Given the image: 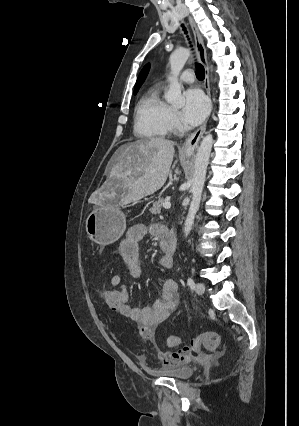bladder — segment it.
Segmentation results:
<instances>
[{
  "instance_id": "bladder-1",
  "label": "bladder",
  "mask_w": 299,
  "mask_h": 426,
  "mask_svg": "<svg viewBox=\"0 0 299 426\" xmlns=\"http://www.w3.org/2000/svg\"><path fill=\"white\" fill-rule=\"evenodd\" d=\"M155 375L171 377L176 380H187L194 374L190 366H166L154 372Z\"/></svg>"
}]
</instances>
